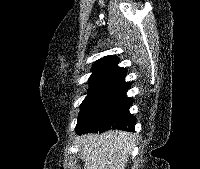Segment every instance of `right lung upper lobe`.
<instances>
[{
	"label": "right lung upper lobe",
	"instance_id": "cb5924a9",
	"mask_svg": "<svg viewBox=\"0 0 200 169\" xmlns=\"http://www.w3.org/2000/svg\"><path fill=\"white\" fill-rule=\"evenodd\" d=\"M118 61L116 56H106L95 62L91 69L93 74L89 79L90 89L124 83L127 71L117 65Z\"/></svg>",
	"mask_w": 200,
	"mask_h": 169
}]
</instances>
